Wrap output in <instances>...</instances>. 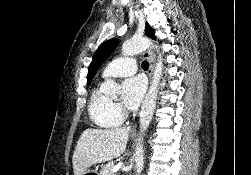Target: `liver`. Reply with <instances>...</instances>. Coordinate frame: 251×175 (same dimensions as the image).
Listing matches in <instances>:
<instances>
[{
  "label": "liver",
  "instance_id": "6515ba94",
  "mask_svg": "<svg viewBox=\"0 0 251 175\" xmlns=\"http://www.w3.org/2000/svg\"><path fill=\"white\" fill-rule=\"evenodd\" d=\"M130 131V125L113 129H85L72 157L74 175H81L94 163L119 157L126 149Z\"/></svg>",
  "mask_w": 251,
  "mask_h": 175
}]
</instances>
